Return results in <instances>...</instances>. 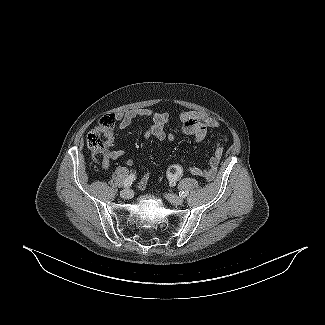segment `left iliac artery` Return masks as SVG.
I'll list each match as a JSON object with an SVG mask.
<instances>
[{
    "label": "left iliac artery",
    "mask_w": 325,
    "mask_h": 325,
    "mask_svg": "<svg viewBox=\"0 0 325 325\" xmlns=\"http://www.w3.org/2000/svg\"><path fill=\"white\" fill-rule=\"evenodd\" d=\"M188 194H189L188 191L179 192V196L182 197V198H185Z\"/></svg>",
    "instance_id": "1"
}]
</instances>
